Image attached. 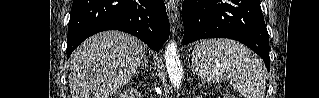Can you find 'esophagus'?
Here are the masks:
<instances>
[{
	"instance_id": "34e87169",
	"label": "esophagus",
	"mask_w": 319,
	"mask_h": 98,
	"mask_svg": "<svg viewBox=\"0 0 319 98\" xmlns=\"http://www.w3.org/2000/svg\"><path fill=\"white\" fill-rule=\"evenodd\" d=\"M167 14L172 24H175L179 20V9L174 1L166 3Z\"/></svg>"
}]
</instances>
